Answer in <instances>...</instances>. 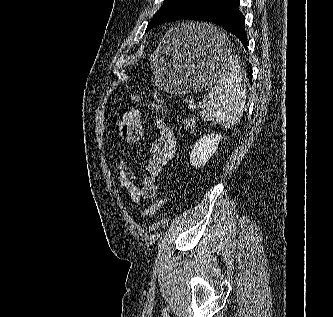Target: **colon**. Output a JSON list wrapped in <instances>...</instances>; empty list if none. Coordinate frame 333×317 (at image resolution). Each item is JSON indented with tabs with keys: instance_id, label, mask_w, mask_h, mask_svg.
Returning a JSON list of instances; mask_svg holds the SVG:
<instances>
[{
	"instance_id": "1",
	"label": "colon",
	"mask_w": 333,
	"mask_h": 317,
	"mask_svg": "<svg viewBox=\"0 0 333 317\" xmlns=\"http://www.w3.org/2000/svg\"><path fill=\"white\" fill-rule=\"evenodd\" d=\"M133 100L136 102L143 103L145 105H148L152 108L161 110V111H168V109L156 102L149 101L143 96L139 94H134L132 96ZM185 125L187 128H192L194 126V120L191 117H186L185 118ZM168 201V197L166 195H163L159 197L155 202L150 204L144 211V216L147 218L152 217L166 202Z\"/></svg>"
}]
</instances>
